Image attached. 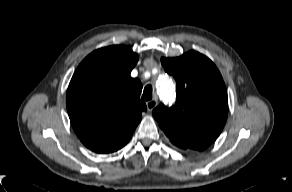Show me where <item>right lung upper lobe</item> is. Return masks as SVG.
I'll list each match as a JSON object with an SVG mask.
<instances>
[{"mask_svg": "<svg viewBox=\"0 0 292 192\" xmlns=\"http://www.w3.org/2000/svg\"><path fill=\"white\" fill-rule=\"evenodd\" d=\"M138 55L124 45L95 50L76 69L66 106L75 133L97 153H111L130 140L147 110L142 84L130 73Z\"/></svg>", "mask_w": 292, "mask_h": 192, "instance_id": "right-lung-upper-lobe-1", "label": "right lung upper lobe"}]
</instances>
